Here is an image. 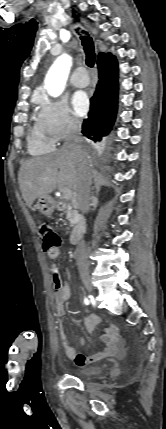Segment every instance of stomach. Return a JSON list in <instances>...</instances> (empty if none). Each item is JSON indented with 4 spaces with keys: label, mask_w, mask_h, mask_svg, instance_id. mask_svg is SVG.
Here are the masks:
<instances>
[{
    "label": "stomach",
    "mask_w": 166,
    "mask_h": 429,
    "mask_svg": "<svg viewBox=\"0 0 166 429\" xmlns=\"http://www.w3.org/2000/svg\"><path fill=\"white\" fill-rule=\"evenodd\" d=\"M36 206L42 214L50 216L55 209V202L49 195L41 196L38 198Z\"/></svg>",
    "instance_id": "obj_1"
}]
</instances>
